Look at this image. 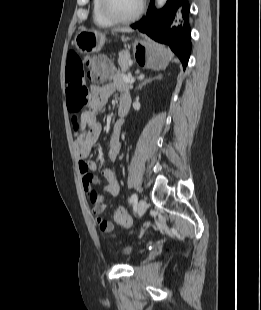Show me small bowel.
I'll list each match as a JSON object with an SVG mask.
<instances>
[{
	"mask_svg": "<svg viewBox=\"0 0 261 310\" xmlns=\"http://www.w3.org/2000/svg\"><path fill=\"white\" fill-rule=\"evenodd\" d=\"M65 82L67 105L73 114L72 133L75 137L74 145L78 158V169L84 189L91 201L92 186L97 182L94 172L97 171L98 164L90 159V155L101 131L100 124L97 120V114L102 110L106 99L116 90L124 91L123 95H129L125 92V84L119 76H116L110 83L93 87L89 93L90 98L88 108L79 113L83 102L88 95V89L83 79L81 60L74 52H70L67 57ZM122 125L123 121L117 120L113 126L107 150V157L110 161H115L120 151V134ZM101 174L104 180L105 192L110 197L118 196L120 193V184L114 172L109 168H105L102 170ZM105 207L106 205L100 204L99 201L95 204L92 203L91 210L98 224L101 221H105L101 217Z\"/></svg>",
	"mask_w": 261,
	"mask_h": 310,
	"instance_id": "c3829d8e",
	"label": "small bowel"
}]
</instances>
